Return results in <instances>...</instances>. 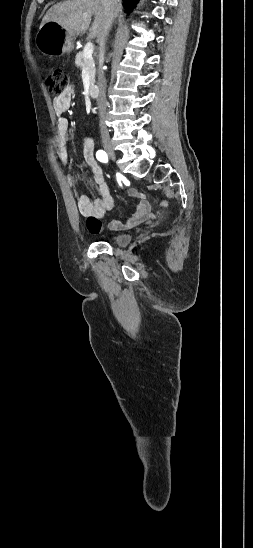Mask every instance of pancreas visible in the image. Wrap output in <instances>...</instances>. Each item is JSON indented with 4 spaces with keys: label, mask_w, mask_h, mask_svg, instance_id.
I'll list each match as a JSON object with an SVG mask.
<instances>
[{
    "label": "pancreas",
    "mask_w": 253,
    "mask_h": 548,
    "mask_svg": "<svg viewBox=\"0 0 253 548\" xmlns=\"http://www.w3.org/2000/svg\"><path fill=\"white\" fill-rule=\"evenodd\" d=\"M75 65L80 69H86L88 71L91 87H94L96 74L94 59L92 57L85 59L84 53L79 52L76 54Z\"/></svg>",
    "instance_id": "pancreas-1"
}]
</instances>
